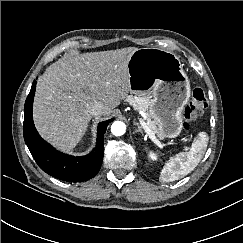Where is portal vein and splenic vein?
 Wrapping results in <instances>:
<instances>
[{
    "label": "portal vein and splenic vein",
    "mask_w": 243,
    "mask_h": 243,
    "mask_svg": "<svg viewBox=\"0 0 243 243\" xmlns=\"http://www.w3.org/2000/svg\"><path fill=\"white\" fill-rule=\"evenodd\" d=\"M140 124L142 128L145 130L149 138L159 147L163 148V144L156 138V136L151 132L150 128L148 127L147 123L140 119Z\"/></svg>",
    "instance_id": "portal-vein-and-splenic-vein-1"
}]
</instances>
